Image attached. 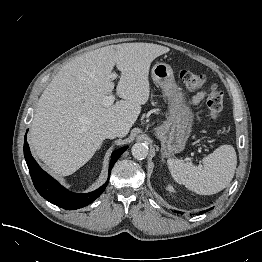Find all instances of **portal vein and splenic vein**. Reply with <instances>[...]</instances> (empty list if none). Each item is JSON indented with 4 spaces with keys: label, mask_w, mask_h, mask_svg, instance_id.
I'll list each match as a JSON object with an SVG mask.
<instances>
[{
    "label": "portal vein and splenic vein",
    "mask_w": 262,
    "mask_h": 262,
    "mask_svg": "<svg viewBox=\"0 0 262 262\" xmlns=\"http://www.w3.org/2000/svg\"><path fill=\"white\" fill-rule=\"evenodd\" d=\"M114 76H115V75H113V77H114ZM114 101H115V96L109 95V96H106V97L104 98L103 104L108 107V106L112 105Z\"/></svg>",
    "instance_id": "portal-vein-and-splenic-vein-1"
}]
</instances>
